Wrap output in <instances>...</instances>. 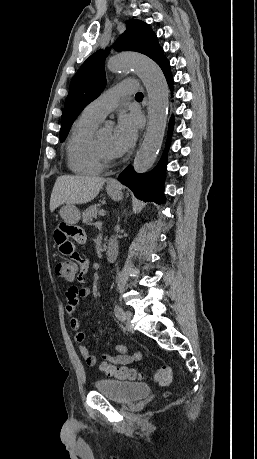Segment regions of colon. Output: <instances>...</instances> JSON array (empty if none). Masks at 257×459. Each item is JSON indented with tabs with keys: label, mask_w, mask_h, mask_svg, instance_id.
I'll return each mask as SVG.
<instances>
[{
	"label": "colon",
	"mask_w": 257,
	"mask_h": 459,
	"mask_svg": "<svg viewBox=\"0 0 257 459\" xmlns=\"http://www.w3.org/2000/svg\"><path fill=\"white\" fill-rule=\"evenodd\" d=\"M79 265L80 264H68L67 260L60 261L56 264L55 267L56 275L66 281H73L77 276ZM101 368L107 375L119 379H136L140 377L138 372L125 367L117 368L103 363ZM154 379L159 385H169L172 381V373L170 367L166 365L159 366L154 374Z\"/></svg>",
	"instance_id": "obj_1"
}]
</instances>
